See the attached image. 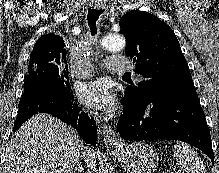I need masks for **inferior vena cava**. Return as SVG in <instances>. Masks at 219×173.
I'll return each mask as SVG.
<instances>
[{"instance_id": "obj_1", "label": "inferior vena cava", "mask_w": 219, "mask_h": 173, "mask_svg": "<svg viewBox=\"0 0 219 173\" xmlns=\"http://www.w3.org/2000/svg\"><path fill=\"white\" fill-rule=\"evenodd\" d=\"M86 148H87V147H86ZM85 155H86V154H85V152H84L83 157H85ZM78 165H79V164H78ZM76 169H78L80 172H82V168H81V167H79V168L76 167Z\"/></svg>"}]
</instances>
